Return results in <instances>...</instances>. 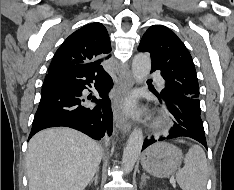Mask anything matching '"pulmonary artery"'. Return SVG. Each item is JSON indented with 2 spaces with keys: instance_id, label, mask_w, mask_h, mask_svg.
I'll list each match as a JSON object with an SVG mask.
<instances>
[{
  "instance_id": "pulmonary-artery-1",
  "label": "pulmonary artery",
  "mask_w": 234,
  "mask_h": 190,
  "mask_svg": "<svg viewBox=\"0 0 234 190\" xmlns=\"http://www.w3.org/2000/svg\"><path fill=\"white\" fill-rule=\"evenodd\" d=\"M156 81H157V85H158L159 88H163L164 87V81H163V79L157 78Z\"/></svg>"
}]
</instances>
